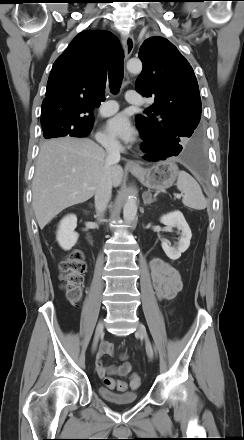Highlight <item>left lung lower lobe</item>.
I'll use <instances>...</instances> for the list:
<instances>
[{"label":"left lung lower lobe","mask_w":244,"mask_h":440,"mask_svg":"<svg viewBox=\"0 0 244 440\" xmlns=\"http://www.w3.org/2000/svg\"><path fill=\"white\" fill-rule=\"evenodd\" d=\"M144 140L142 149L146 153L144 159L148 161L165 160L168 157L178 156L194 171L204 174L206 171L205 156L202 150L200 137L188 145H171L153 133L139 128Z\"/></svg>","instance_id":"obj_1"}]
</instances>
